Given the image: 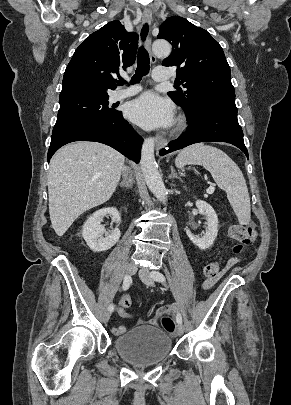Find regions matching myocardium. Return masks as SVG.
Listing matches in <instances>:
<instances>
[{
  "instance_id": "myocardium-1",
  "label": "myocardium",
  "mask_w": 291,
  "mask_h": 405,
  "mask_svg": "<svg viewBox=\"0 0 291 405\" xmlns=\"http://www.w3.org/2000/svg\"><path fill=\"white\" fill-rule=\"evenodd\" d=\"M184 128V120L183 118H179L178 125H177V131H181Z\"/></svg>"
}]
</instances>
